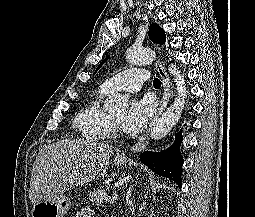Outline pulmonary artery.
<instances>
[{
  "mask_svg": "<svg viewBox=\"0 0 255 217\" xmlns=\"http://www.w3.org/2000/svg\"><path fill=\"white\" fill-rule=\"evenodd\" d=\"M149 78L148 73L141 68H130L107 79L102 87L108 92L114 91H138L142 84Z\"/></svg>",
  "mask_w": 255,
  "mask_h": 217,
  "instance_id": "e3ab8cb5",
  "label": "pulmonary artery"
}]
</instances>
